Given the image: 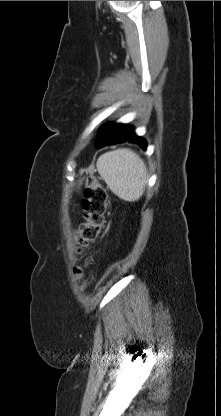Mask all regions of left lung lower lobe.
<instances>
[{
	"label": "left lung lower lobe",
	"instance_id": "left-lung-lower-lobe-1",
	"mask_svg": "<svg viewBox=\"0 0 221 416\" xmlns=\"http://www.w3.org/2000/svg\"><path fill=\"white\" fill-rule=\"evenodd\" d=\"M129 142V143H136L138 145H140L143 149H146V141L137 136L132 128V130L130 131L129 134H127L126 136L120 137L118 139H116L115 141H110L109 144H117V143H122V142ZM95 145L97 147H102L104 146V143H100L98 140L96 141Z\"/></svg>",
	"mask_w": 221,
	"mask_h": 416
}]
</instances>
